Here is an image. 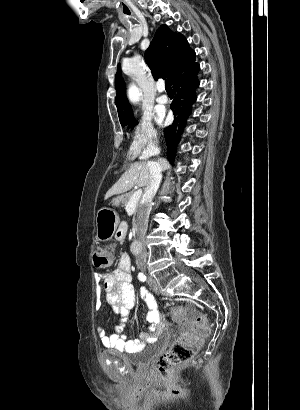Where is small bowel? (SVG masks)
Returning <instances> with one entry per match:
<instances>
[{"instance_id":"small-bowel-1","label":"small bowel","mask_w":300,"mask_h":410,"mask_svg":"<svg viewBox=\"0 0 300 410\" xmlns=\"http://www.w3.org/2000/svg\"><path fill=\"white\" fill-rule=\"evenodd\" d=\"M121 239V237H120ZM98 282L106 292V300L114 313L119 316L115 331L107 334L104 327L97 328V334L101 343L106 348H113L125 353L136 352L146 342L157 340L166 330V319L158 309L155 297L146 289L140 290V296L145 301L148 312V331L142 333L139 339H129L125 334L128 317L136 302V291L132 284L131 260L127 253L119 257L117 268L112 273L98 275ZM100 294V289H99ZM97 309L102 307L99 300Z\"/></svg>"}]
</instances>
